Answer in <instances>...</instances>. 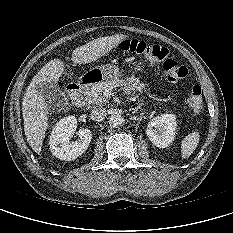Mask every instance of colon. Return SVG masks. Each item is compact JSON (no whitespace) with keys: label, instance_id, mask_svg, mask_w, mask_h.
<instances>
[{"label":"colon","instance_id":"5ec220e1","mask_svg":"<svg viewBox=\"0 0 233 233\" xmlns=\"http://www.w3.org/2000/svg\"><path fill=\"white\" fill-rule=\"evenodd\" d=\"M121 48L124 51L162 62L164 76L169 82H178L188 75V69L169 57V52L165 47L147 44L140 40H126L122 42ZM188 105L194 112H199L203 108V92L199 85L192 87Z\"/></svg>","mask_w":233,"mask_h":233}]
</instances>
